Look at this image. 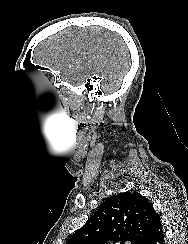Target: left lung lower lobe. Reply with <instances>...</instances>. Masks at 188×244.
I'll return each mask as SVG.
<instances>
[{"mask_svg": "<svg viewBox=\"0 0 188 244\" xmlns=\"http://www.w3.org/2000/svg\"><path fill=\"white\" fill-rule=\"evenodd\" d=\"M144 244H165L164 233L159 215L153 217Z\"/></svg>", "mask_w": 188, "mask_h": 244, "instance_id": "obj_1", "label": "left lung lower lobe"}]
</instances>
